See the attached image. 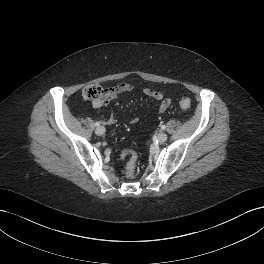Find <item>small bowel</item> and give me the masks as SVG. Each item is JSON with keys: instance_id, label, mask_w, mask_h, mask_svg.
Wrapping results in <instances>:
<instances>
[{"instance_id": "small-bowel-1", "label": "small bowel", "mask_w": 264, "mask_h": 264, "mask_svg": "<svg viewBox=\"0 0 264 264\" xmlns=\"http://www.w3.org/2000/svg\"><path fill=\"white\" fill-rule=\"evenodd\" d=\"M137 88L138 87L132 82H124L116 86L107 88L105 89L104 96L101 99H98L92 102V107L94 109H100L101 107L108 105L113 100L118 99L123 93L133 91ZM140 91L144 95L152 99L160 101V104L158 107L159 113L165 112L171 105V102H172L171 98L164 97V93L160 90L144 87V88H140ZM135 121H136L135 119L132 120V123H134ZM115 122H116V118L114 114H111L107 119V123L112 125Z\"/></svg>"}]
</instances>
